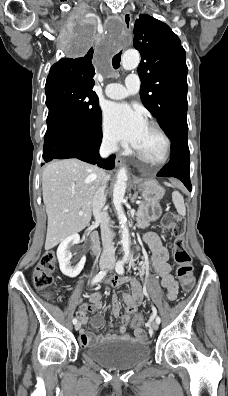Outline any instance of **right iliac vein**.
<instances>
[{"label": "right iliac vein", "instance_id": "63e3f726", "mask_svg": "<svg viewBox=\"0 0 228 396\" xmlns=\"http://www.w3.org/2000/svg\"><path fill=\"white\" fill-rule=\"evenodd\" d=\"M108 262L107 261H102V262H100V269L101 270H104L107 266H108ZM80 327H81V323L80 322H78V323H76L75 324V330L76 331H78L79 329H80Z\"/></svg>", "mask_w": 228, "mask_h": 396}]
</instances>
